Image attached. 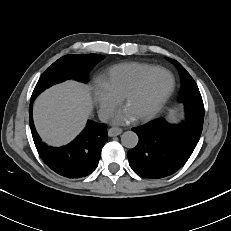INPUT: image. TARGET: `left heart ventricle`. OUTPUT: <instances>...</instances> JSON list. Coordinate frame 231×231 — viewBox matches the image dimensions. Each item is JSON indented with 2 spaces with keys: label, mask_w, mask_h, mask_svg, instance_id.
<instances>
[{
  "label": "left heart ventricle",
  "mask_w": 231,
  "mask_h": 231,
  "mask_svg": "<svg viewBox=\"0 0 231 231\" xmlns=\"http://www.w3.org/2000/svg\"><path fill=\"white\" fill-rule=\"evenodd\" d=\"M171 86V77L167 73L155 76L137 94L132 96L125 104L135 117L151 112L159 104Z\"/></svg>",
  "instance_id": "left-heart-ventricle-1"
}]
</instances>
